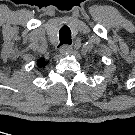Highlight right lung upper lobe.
<instances>
[{"label":"right lung upper lobe","instance_id":"cb5924a9","mask_svg":"<svg viewBox=\"0 0 135 135\" xmlns=\"http://www.w3.org/2000/svg\"><path fill=\"white\" fill-rule=\"evenodd\" d=\"M45 64H46V62H45V59L44 58H41V59H39L38 61H37V66L38 67H44L45 66Z\"/></svg>","mask_w":135,"mask_h":135}]
</instances>
